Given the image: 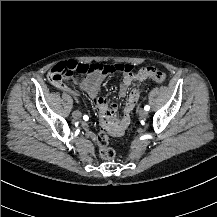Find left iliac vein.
Here are the masks:
<instances>
[{
    "instance_id": "1",
    "label": "left iliac vein",
    "mask_w": 217,
    "mask_h": 217,
    "mask_svg": "<svg viewBox=\"0 0 217 217\" xmlns=\"http://www.w3.org/2000/svg\"><path fill=\"white\" fill-rule=\"evenodd\" d=\"M139 116L142 118H146L148 116V112L144 109L139 111Z\"/></svg>"
}]
</instances>
